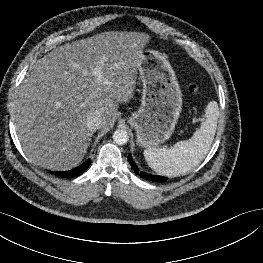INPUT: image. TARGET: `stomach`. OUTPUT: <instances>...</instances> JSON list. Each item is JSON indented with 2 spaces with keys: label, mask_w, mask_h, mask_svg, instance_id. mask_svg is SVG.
<instances>
[{
  "label": "stomach",
  "mask_w": 263,
  "mask_h": 263,
  "mask_svg": "<svg viewBox=\"0 0 263 263\" xmlns=\"http://www.w3.org/2000/svg\"><path fill=\"white\" fill-rule=\"evenodd\" d=\"M143 82L140 108L128 118L139 146H155L169 140L182 111V92L167 56L144 49L139 65Z\"/></svg>",
  "instance_id": "stomach-1"
}]
</instances>
